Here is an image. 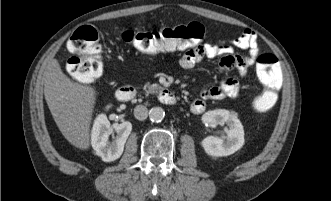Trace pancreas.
I'll list each match as a JSON object with an SVG mask.
<instances>
[{"instance_id":"pancreas-1","label":"pancreas","mask_w":331,"mask_h":201,"mask_svg":"<svg viewBox=\"0 0 331 201\" xmlns=\"http://www.w3.org/2000/svg\"><path fill=\"white\" fill-rule=\"evenodd\" d=\"M159 89H160V86L157 85V84H153V85L146 84V85L144 86V90H145L147 93H151V94L156 93Z\"/></svg>"}]
</instances>
